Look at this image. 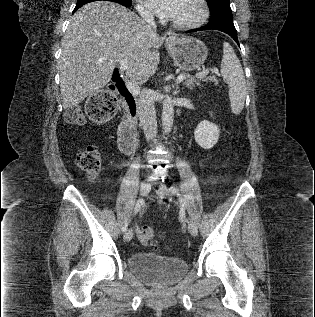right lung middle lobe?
I'll return each instance as SVG.
<instances>
[{
    "label": "right lung middle lobe",
    "instance_id": "dd1d6c3e",
    "mask_svg": "<svg viewBox=\"0 0 315 317\" xmlns=\"http://www.w3.org/2000/svg\"><path fill=\"white\" fill-rule=\"evenodd\" d=\"M93 1H97V0H78L77 5L86 4L89 2H93ZM107 1L120 2L123 4L129 5V6H131V4H132V0H107Z\"/></svg>",
    "mask_w": 315,
    "mask_h": 317
}]
</instances>
